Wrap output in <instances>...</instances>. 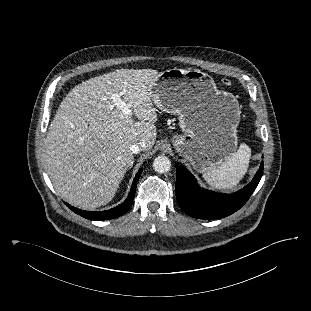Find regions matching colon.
Returning <instances> with one entry per match:
<instances>
[{
	"instance_id": "colon-1",
	"label": "colon",
	"mask_w": 311,
	"mask_h": 311,
	"mask_svg": "<svg viewBox=\"0 0 311 311\" xmlns=\"http://www.w3.org/2000/svg\"><path fill=\"white\" fill-rule=\"evenodd\" d=\"M222 85H223V86H229V85H230V81H228V80H223V81H222Z\"/></svg>"
}]
</instances>
